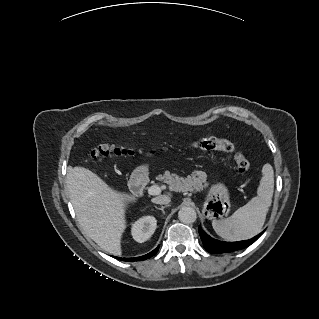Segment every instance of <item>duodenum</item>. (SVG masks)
Instances as JSON below:
<instances>
[{"label": "duodenum", "mask_w": 319, "mask_h": 319, "mask_svg": "<svg viewBox=\"0 0 319 319\" xmlns=\"http://www.w3.org/2000/svg\"><path fill=\"white\" fill-rule=\"evenodd\" d=\"M144 191V187L143 186H136L134 188V192L135 193H142Z\"/></svg>", "instance_id": "410a0bca"}]
</instances>
